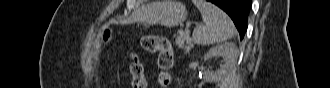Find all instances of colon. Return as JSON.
Returning a JSON list of instances; mask_svg holds the SVG:
<instances>
[{
  "label": "colon",
  "instance_id": "colon-1",
  "mask_svg": "<svg viewBox=\"0 0 330 88\" xmlns=\"http://www.w3.org/2000/svg\"><path fill=\"white\" fill-rule=\"evenodd\" d=\"M141 47L149 53L158 54V66L161 69L159 81L162 87H167L171 80L169 71L173 67V49L170 41L162 36L146 35L141 38ZM130 72L133 77V88L147 87L144 67L136 54L132 57Z\"/></svg>",
  "mask_w": 330,
  "mask_h": 88
}]
</instances>
